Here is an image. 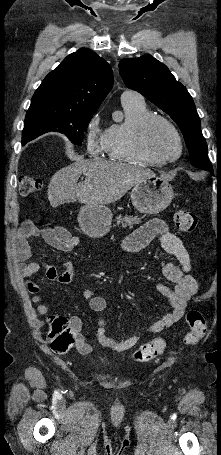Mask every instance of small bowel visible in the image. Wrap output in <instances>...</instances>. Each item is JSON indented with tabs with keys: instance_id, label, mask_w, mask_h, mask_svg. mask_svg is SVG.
Segmentation results:
<instances>
[{
	"instance_id": "c3829d8e",
	"label": "small bowel",
	"mask_w": 221,
	"mask_h": 455,
	"mask_svg": "<svg viewBox=\"0 0 221 455\" xmlns=\"http://www.w3.org/2000/svg\"><path fill=\"white\" fill-rule=\"evenodd\" d=\"M34 237L42 238L49 246L60 252L72 251L80 241L76 235L63 226L38 227L31 221L24 222L20 226L19 239L16 245V254L21 265V274L24 278L31 277L41 269L39 263L29 261L31 252L28 239ZM154 240H157L167 253L173 255L178 260L179 265L167 261L161 262L162 274L173 286L169 287L163 283H158L156 287L168 299L172 309L149 328L148 332L151 334L159 333L182 319L185 316L188 301L198 290L197 281L190 275L192 263L188 251L180 238L172 233L167 225L160 220H152L131 233L122 243L120 252H137ZM44 267L50 280L66 285L72 282L73 268L71 264H65L66 269L63 273H58L56 268L51 265H45ZM28 288L33 294L32 302L37 306V311L42 315L49 314L50 309L44 304L43 298L39 294L40 287L34 282H29ZM82 296L89 300L90 307L94 312L102 313L104 311L106 301L97 291L86 289L82 292ZM70 322L77 334L78 351L81 354L90 353L93 347L86 342L81 334V320L78 317H72ZM95 338L104 347L118 352L131 349L141 340L139 335L126 339H115L107 336L105 321L102 318L99 319V327L95 333Z\"/></svg>"
}]
</instances>
